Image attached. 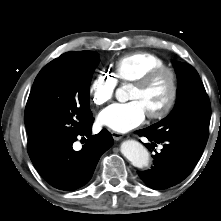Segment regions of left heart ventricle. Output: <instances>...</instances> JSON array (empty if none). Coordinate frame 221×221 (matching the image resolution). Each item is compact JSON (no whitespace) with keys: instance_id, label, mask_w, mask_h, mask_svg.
<instances>
[{"instance_id":"left-heart-ventricle-1","label":"left heart ventricle","mask_w":221,"mask_h":221,"mask_svg":"<svg viewBox=\"0 0 221 221\" xmlns=\"http://www.w3.org/2000/svg\"><path fill=\"white\" fill-rule=\"evenodd\" d=\"M169 94V78L167 76H161L146 88H139L134 85L131 89L129 99L140 101L148 114L162 109Z\"/></svg>"}]
</instances>
